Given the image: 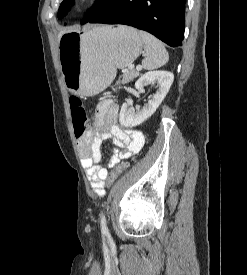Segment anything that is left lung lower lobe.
I'll return each instance as SVG.
<instances>
[{"instance_id":"0a47b994","label":"left lung lower lobe","mask_w":247,"mask_h":275,"mask_svg":"<svg viewBox=\"0 0 247 275\" xmlns=\"http://www.w3.org/2000/svg\"><path fill=\"white\" fill-rule=\"evenodd\" d=\"M186 0H109L87 22L125 24L145 30L169 46H182Z\"/></svg>"}]
</instances>
